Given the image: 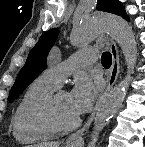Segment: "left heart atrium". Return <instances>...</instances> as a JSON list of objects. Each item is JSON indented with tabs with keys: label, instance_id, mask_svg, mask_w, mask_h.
<instances>
[{
	"label": "left heart atrium",
	"instance_id": "39dd6f15",
	"mask_svg": "<svg viewBox=\"0 0 145 147\" xmlns=\"http://www.w3.org/2000/svg\"><path fill=\"white\" fill-rule=\"evenodd\" d=\"M99 89V82L94 81L87 76L81 75L76 79L70 93V100L72 110L77 117L90 108Z\"/></svg>",
	"mask_w": 145,
	"mask_h": 147
}]
</instances>
